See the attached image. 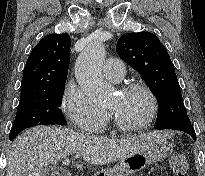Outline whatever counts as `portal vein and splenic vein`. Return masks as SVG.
Instances as JSON below:
<instances>
[{
	"instance_id": "obj_1",
	"label": "portal vein and splenic vein",
	"mask_w": 205,
	"mask_h": 176,
	"mask_svg": "<svg viewBox=\"0 0 205 176\" xmlns=\"http://www.w3.org/2000/svg\"><path fill=\"white\" fill-rule=\"evenodd\" d=\"M70 163V160L69 159H65L64 161H63V164L64 165H68Z\"/></svg>"
}]
</instances>
